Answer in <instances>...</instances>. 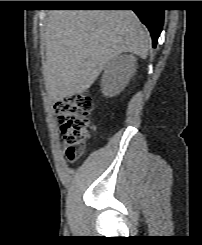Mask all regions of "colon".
<instances>
[{
    "instance_id": "1",
    "label": "colon",
    "mask_w": 202,
    "mask_h": 245,
    "mask_svg": "<svg viewBox=\"0 0 202 245\" xmlns=\"http://www.w3.org/2000/svg\"><path fill=\"white\" fill-rule=\"evenodd\" d=\"M92 109L93 100L87 93L62 99L56 105V115L67 145L65 155L70 162L81 156L90 137Z\"/></svg>"
}]
</instances>
